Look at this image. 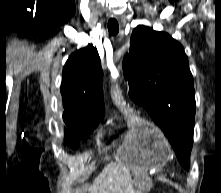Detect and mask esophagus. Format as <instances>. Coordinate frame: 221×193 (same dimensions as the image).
<instances>
[{"instance_id":"esophagus-1","label":"esophagus","mask_w":221,"mask_h":193,"mask_svg":"<svg viewBox=\"0 0 221 193\" xmlns=\"http://www.w3.org/2000/svg\"><path fill=\"white\" fill-rule=\"evenodd\" d=\"M119 21H123V18L121 16H115ZM124 25V24H123Z\"/></svg>"}]
</instances>
